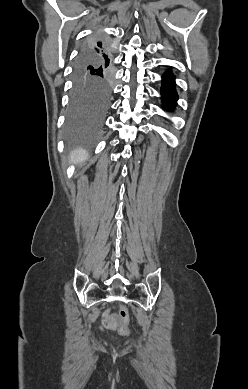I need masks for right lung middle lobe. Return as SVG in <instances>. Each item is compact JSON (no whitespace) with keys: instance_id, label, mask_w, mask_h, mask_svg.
<instances>
[{"instance_id":"1","label":"right lung middle lobe","mask_w":248,"mask_h":389,"mask_svg":"<svg viewBox=\"0 0 248 389\" xmlns=\"http://www.w3.org/2000/svg\"><path fill=\"white\" fill-rule=\"evenodd\" d=\"M112 68L100 59L81 53L74 67V90L68 112L67 139L93 145L110 103Z\"/></svg>"}]
</instances>
